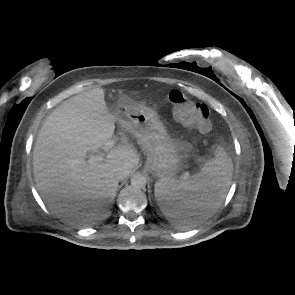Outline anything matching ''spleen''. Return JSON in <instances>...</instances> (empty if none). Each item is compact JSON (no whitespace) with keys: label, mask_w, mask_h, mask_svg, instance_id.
Returning a JSON list of instances; mask_svg holds the SVG:
<instances>
[{"label":"spleen","mask_w":295,"mask_h":295,"mask_svg":"<svg viewBox=\"0 0 295 295\" xmlns=\"http://www.w3.org/2000/svg\"><path fill=\"white\" fill-rule=\"evenodd\" d=\"M232 161L224 149L218 147L215 157L205 163L200 173L192 177L161 178L155 183V196L159 205L167 209L164 215L181 227L199 223L208 213L196 214L200 207L217 206L231 183Z\"/></svg>","instance_id":"3e777b00"}]
</instances>
